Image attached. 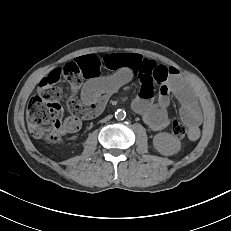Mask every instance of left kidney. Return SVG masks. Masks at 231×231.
<instances>
[{
  "label": "left kidney",
  "mask_w": 231,
  "mask_h": 231,
  "mask_svg": "<svg viewBox=\"0 0 231 231\" xmlns=\"http://www.w3.org/2000/svg\"><path fill=\"white\" fill-rule=\"evenodd\" d=\"M155 149L162 155L171 156L181 149L179 139L169 133H158L153 138Z\"/></svg>",
  "instance_id": "left-kidney-1"
}]
</instances>
